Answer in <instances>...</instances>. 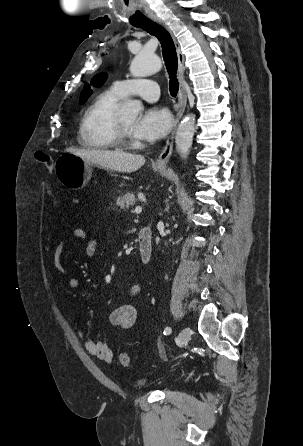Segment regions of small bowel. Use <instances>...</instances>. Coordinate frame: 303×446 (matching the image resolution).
Here are the masks:
<instances>
[{"mask_svg": "<svg viewBox=\"0 0 303 446\" xmlns=\"http://www.w3.org/2000/svg\"><path fill=\"white\" fill-rule=\"evenodd\" d=\"M72 237L76 241H86V252L88 255H93L96 249V241L88 239L87 233L82 228H74L72 230ZM67 242L62 241L58 244L54 252V266L57 270L60 278V289L63 293H67L69 290L77 289L80 287V280L75 277H67V272L62 264L61 256L65 249ZM140 289L138 284L132 287L131 293L136 294ZM137 319V310L131 304H125L115 308L110 314V322L113 325L120 326L122 328L132 327ZM79 335L84 337V333L79 331ZM87 352L100 360L105 362H112L113 352L104 343L87 340L85 343Z\"/></svg>", "mask_w": 303, "mask_h": 446, "instance_id": "small-bowel-1", "label": "small bowel"}]
</instances>
